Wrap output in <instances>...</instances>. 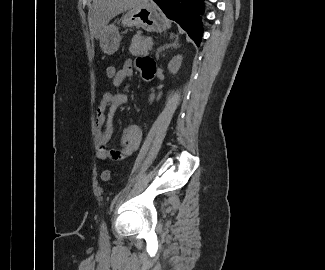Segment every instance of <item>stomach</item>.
Instances as JSON below:
<instances>
[{"label":"stomach","mask_w":325,"mask_h":270,"mask_svg":"<svg viewBox=\"0 0 325 270\" xmlns=\"http://www.w3.org/2000/svg\"><path fill=\"white\" fill-rule=\"evenodd\" d=\"M127 27H142L149 32H162L166 29V22L156 5L144 3L135 6L120 19ZM121 35L115 24L107 25L100 39L102 51L108 55L114 54L120 45Z\"/></svg>","instance_id":"1"}]
</instances>
